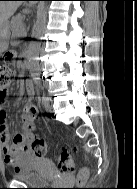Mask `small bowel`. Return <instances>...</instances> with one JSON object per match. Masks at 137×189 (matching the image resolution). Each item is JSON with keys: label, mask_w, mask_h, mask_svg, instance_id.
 Returning a JSON list of instances; mask_svg holds the SVG:
<instances>
[{"label": "small bowel", "mask_w": 137, "mask_h": 189, "mask_svg": "<svg viewBox=\"0 0 137 189\" xmlns=\"http://www.w3.org/2000/svg\"><path fill=\"white\" fill-rule=\"evenodd\" d=\"M21 72H23L20 66ZM26 91L29 95L34 94V83L32 81L26 84ZM6 96L0 98V145L4 155V161L11 166L15 172H20L24 167L30 165L34 160V156L26 145V140L30 133L35 130L34 118L25 113L23 115L24 133H18L11 137L6 122V111L4 105ZM32 102H29L30 105ZM28 107V106H27ZM26 107V108H27Z\"/></svg>", "instance_id": "small-bowel-1"}]
</instances>
